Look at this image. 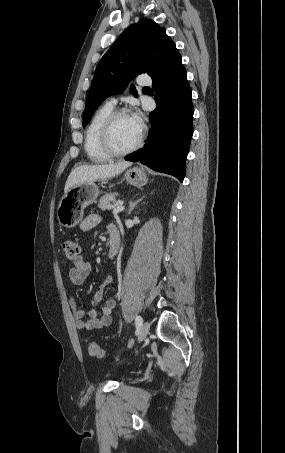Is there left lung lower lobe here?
Wrapping results in <instances>:
<instances>
[{
	"mask_svg": "<svg viewBox=\"0 0 285 453\" xmlns=\"http://www.w3.org/2000/svg\"><path fill=\"white\" fill-rule=\"evenodd\" d=\"M151 77L157 104L149 115L152 127L145 146L124 158L173 175L182 182L193 134L194 111L187 73L176 46Z\"/></svg>",
	"mask_w": 285,
	"mask_h": 453,
	"instance_id": "obj_1",
	"label": "left lung lower lobe"
}]
</instances>
